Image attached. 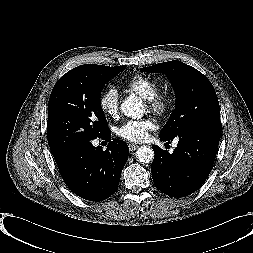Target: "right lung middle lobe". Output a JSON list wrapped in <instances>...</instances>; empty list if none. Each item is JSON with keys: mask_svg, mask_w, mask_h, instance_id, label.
I'll return each instance as SVG.
<instances>
[{"mask_svg": "<svg viewBox=\"0 0 253 253\" xmlns=\"http://www.w3.org/2000/svg\"><path fill=\"white\" fill-rule=\"evenodd\" d=\"M125 66L80 65L64 74L49 99L47 136L53 156L93 140L109 128L101 107V91Z\"/></svg>", "mask_w": 253, "mask_h": 253, "instance_id": "obj_1", "label": "right lung middle lobe"}]
</instances>
